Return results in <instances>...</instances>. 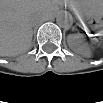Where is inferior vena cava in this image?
Masks as SVG:
<instances>
[{
  "mask_svg": "<svg viewBox=\"0 0 103 103\" xmlns=\"http://www.w3.org/2000/svg\"><path fill=\"white\" fill-rule=\"evenodd\" d=\"M37 18H38V17H33V20H34V19H37Z\"/></svg>",
  "mask_w": 103,
  "mask_h": 103,
  "instance_id": "obj_1",
  "label": "inferior vena cava"
}]
</instances>
